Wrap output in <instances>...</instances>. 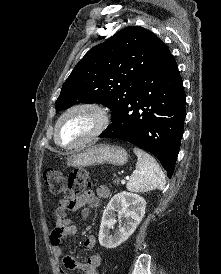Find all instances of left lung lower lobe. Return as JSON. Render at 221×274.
I'll use <instances>...</instances> for the list:
<instances>
[{"label": "left lung lower lobe", "instance_id": "obj_1", "mask_svg": "<svg viewBox=\"0 0 221 274\" xmlns=\"http://www.w3.org/2000/svg\"><path fill=\"white\" fill-rule=\"evenodd\" d=\"M185 92L169 53L142 79L137 94L112 115L101 137L128 141L155 155L171 178L184 131Z\"/></svg>", "mask_w": 221, "mask_h": 274}]
</instances>
